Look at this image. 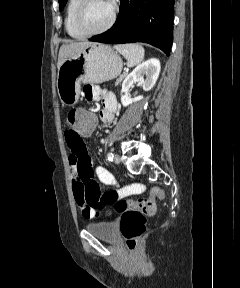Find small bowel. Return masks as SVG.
Instances as JSON below:
<instances>
[{"mask_svg": "<svg viewBox=\"0 0 240 288\" xmlns=\"http://www.w3.org/2000/svg\"><path fill=\"white\" fill-rule=\"evenodd\" d=\"M83 94L88 101L101 102L102 109L100 110V118L103 122L110 124L117 111V99L115 95L95 85H86L83 89ZM90 133L91 131L81 136H76L69 130L65 131V140L70 149L68 160L73 194L85 218H93L97 213L95 208L86 205L87 192L89 190L100 191L95 176L99 182L105 185L117 186V181L107 169L102 166H94L88 148L84 143V138L88 137ZM130 189V187H124L116 191H118L121 196H124L130 192Z\"/></svg>", "mask_w": 240, "mask_h": 288, "instance_id": "small-bowel-1", "label": "small bowel"}]
</instances>
